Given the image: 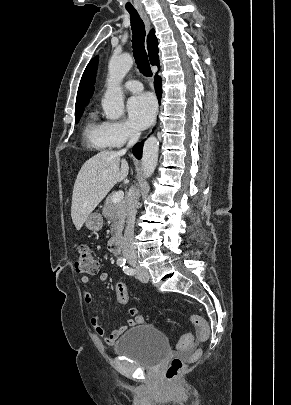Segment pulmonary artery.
<instances>
[{
	"label": "pulmonary artery",
	"instance_id": "obj_1",
	"mask_svg": "<svg viewBox=\"0 0 291 405\" xmlns=\"http://www.w3.org/2000/svg\"><path fill=\"white\" fill-rule=\"evenodd\" d=\"M124 87L133 92V93H139L143 90V85L136 80H128L124 83Z\"/></svg>",
	"mask_w": 291,
	"mask_h": 405
}]
</instances>
